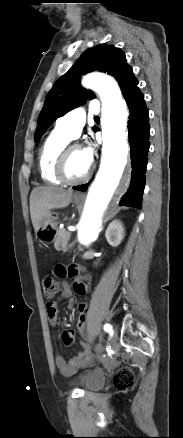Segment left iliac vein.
Listing matches in <instances>:
<instances>
[{
  "mask_svg": "<svg viewBox=\"0 0 183 438\" xmlns=\"http://www.w3.org/2000/svg\"><path fill=\"white\" fill-rule=\"evenodd\" d=\"M112 337H113V340H115V338H116V332L115 331H113Z\"/></svg>",
  "mask_w": 183,
  "mask_h": 438,
  "instance_id": "1",
  "label": "left iliac vein"
}]
</instances>
